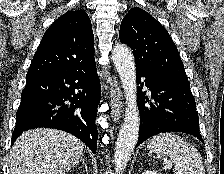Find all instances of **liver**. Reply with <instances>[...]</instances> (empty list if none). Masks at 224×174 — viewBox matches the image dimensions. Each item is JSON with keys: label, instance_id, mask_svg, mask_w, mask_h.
<instances>
[{"label": "liver", "instance_id": "liver-1", "mask_svg": "<svg viewBox=\"0 0 224 174\" xmlns=\"http://www.w3.org/2000/svg\"><path fill=\"white\" fill-rule=\"evenodd\" d=\"M84 144L56 129H33L15 141L9 174H66L83 155Z\"/></svg>", "mask_w": 224, "mask_h": 174}]
</instances>
